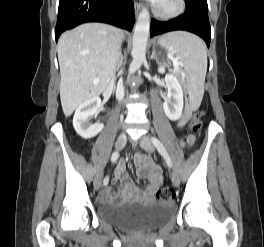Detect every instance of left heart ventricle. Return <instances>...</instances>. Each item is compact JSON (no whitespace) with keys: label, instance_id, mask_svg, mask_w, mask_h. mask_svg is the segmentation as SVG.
Returning <instances> with one entry per match:
<instances>
[{"label":"left heart ventricle","instance_id":"b2bd125f","mask_svg":"<svg viewBox=\"0 0 264 247\" xmlns=\"http://www.w3.org/2000/svg\"><path fill=\"white\" fill-rule=\"evenodd\" d=\"M172 0H161L158 4L162 10L170 9L172 6Z\"/></svg>","mask_w":264,"mask_h":247}]
</instances>
